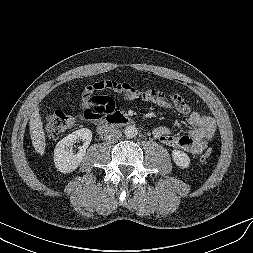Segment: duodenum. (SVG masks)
<instances>
[{"label":"duodenum","instance_id":"1","mask_svg":"<svg viewBox=\"0 0 253 253\" xmlns=\"http://www.w3.org/2000/svg\"><path fill=\"white\" fill-rule=\"evenodd\" d=\"M131 122L132 121L129 117L122 113L116 112L108 116L106 120L98 126L97 130L103 135L107 134L115 127L129 125Z\"/></svg>","mask_w":253,"mask_h":253}]
</instances>
